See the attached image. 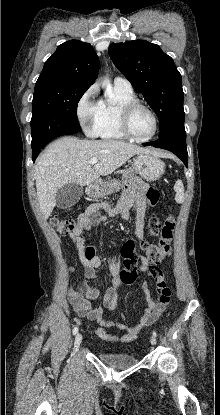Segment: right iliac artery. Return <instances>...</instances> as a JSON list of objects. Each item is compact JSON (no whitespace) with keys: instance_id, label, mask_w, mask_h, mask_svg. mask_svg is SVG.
I'll return each mask as SVG.
<instances>
[{"instance_id":"right-iliac-artery-1","label":"right iliac artery","mask_w":220,"mask_h":415,"mask_svg":"<svg viewBox=\"0 0 220 415\" xmlns=\"http://www.w3.org/2000/svg\"><path fill=\"white\" fill-rule=\"evenodd\" d=\"M77 332H78V327L76 326V327H74V329H73V334L75 335V334H77Z\"/></svg>"}]
</instances>
